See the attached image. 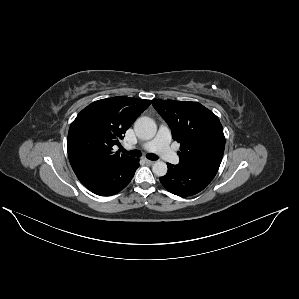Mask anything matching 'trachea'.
Here are the masks:
<instances>
[{
    "label": "trachea",
    "instance_id": "1",
    "mask_svg": "<svg viewBox=\"0 0 299 299\" xmlns=\"http://www.w3.org/2000/svg\"><path fill=\"white\" fill-rule=\"evenodd\" d=\"M122 152H124V153H127L128 155H130V156H133V157H141V151H139V150H131V151H127V150H125V149H123L122 148ZM147 158L149 159V160H157L158 159V156H156V155H154V154H148L147 155Z\"/></svg>",
    "mask_w": 299,
    "mask_h": 299
}]
</instances>
